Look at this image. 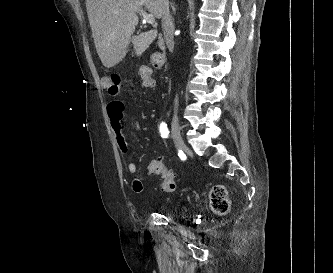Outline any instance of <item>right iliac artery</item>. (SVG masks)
Wrapping results in <instances>:
<instances>
[{
    "label": "right iliac artery",
    "instance_id": "1",
    "mask_svg": "<svg viewBox=\"0 0 333 273\" xmlns=\"http://www.w3.org/2000/svg\"><path fill=\"white\" fill-rule=\"evenodd\" d=\"M160 134H161V137H163V138H168V136H169V130H168L167 124L165 122H162L160 124Z\"/></svg>",
    "mask_w": 333,
    "mask_h": 273
}]
</instances>
